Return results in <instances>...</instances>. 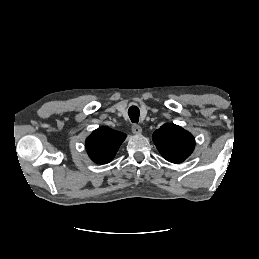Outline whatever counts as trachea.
<instances>
[{
  "mask_svg": "<svg viewBox=\"0 0 259 259\" xmlns=\"http://www.w3.org/2000/svg\"><path fill=\"white\" fill-rule=\"evenodd\" d=\"M129 117L133 123H138L140 110L137 106H131L128 110Z\"/></svg>",
  "mask_w": 259,
  "mask_h": 259,
  "instance_id": "1",
  "label": "trachea"
}]
</instances>
